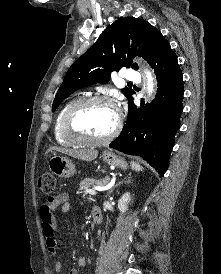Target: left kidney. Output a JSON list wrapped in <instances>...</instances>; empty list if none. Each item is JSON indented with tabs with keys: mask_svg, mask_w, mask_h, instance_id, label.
<instances>
[{
	"mask_svg": "<svg viewBox=\"0 0 221 274\" xmlns=\"http://www.w3.org/2000/svg\"><path fill=\"white\" fill-rule=\"evenodd\" d=\"M131 201L130 193H125L118 201V208L121 212H126L128 209V204Z\"/></svg>",
	"mask_w": 221,
	"mask_h": 274,
	"instance_id": "5707ae66",
	"label": "left kidney"
}]
</instances>
